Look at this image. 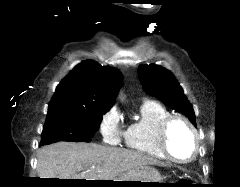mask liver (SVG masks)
<instances>
[{"mask_svg":"<svg viewBox=\"0 0 240 187\" xmlns=\"http://www.w3.org/2000/svg\"><path fill=\"white\" fill-rule=\"evenodd\" d=\"M39 178L113 180L126 172L160 164L141 153L96 143L58 142L37 153Z\"/></svg>","mask_w":240,"mask_h":187,"instance_id":"liver-1","label":"liver"}]
</instances>
